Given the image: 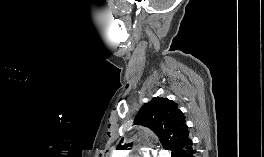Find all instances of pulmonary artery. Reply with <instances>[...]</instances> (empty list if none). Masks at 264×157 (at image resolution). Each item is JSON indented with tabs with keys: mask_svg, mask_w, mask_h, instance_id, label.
<instances>
[{
	"mask_svg": "<svg viewBox=\"0 0 264 157\" xmlns=\"http://www.w3.org/2000/svg\"><path fill=\"white\" fill-rule=\"evenodd\" d=\"M144 157H150V156L146 154Z\"/></svg>",
	"mask_w": 264,
	"mask_h": 157,
	"instance_id": "e3ab8cb5",
	"label": "pulmonary artery"
}]
</instances>
